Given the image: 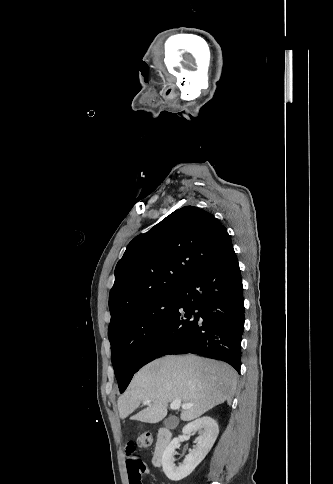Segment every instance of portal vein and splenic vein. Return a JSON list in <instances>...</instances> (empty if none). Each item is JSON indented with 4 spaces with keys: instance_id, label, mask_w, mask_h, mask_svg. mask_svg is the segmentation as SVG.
Segmentation results:
<instances>
[{
    "instance_id": "portal-vein-and-splenic-vein-1",
    "label": "portal vein and splenic vein",
    "mask_w": 333,
    "mask_h": 484,
    "mask_svg": "<svg viewBox=\"0 0 333 484\" xmlns=\"http://www.w3.org/2000/svg\"><path fill=\"white\" fill-rule=\"evenodd\" d=\"M150 403H151L150 399L143 400V404H145V405H149ZM181 403H182V401L180 399H175L170 403V407H171V409L177 410L180 407H182V409H187V408H190L192 406L191 404H181Z\"/></svg>"
}]
</instances>
